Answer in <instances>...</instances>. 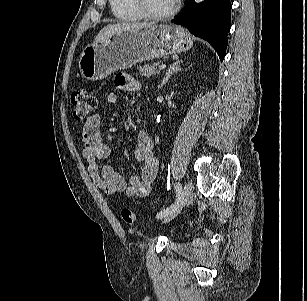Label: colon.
Listing matches in <instances>:
<instances>
[{"mask_svg": "<svg viewBox=\"0 0 307 301\" xmlns=\"http://www.w3.org/2000/svg\"><path fill=\"white\" fill-rule=\"evenodd\" d=\"M70 104L74 117L77 120H86L96 109V95L93 91L85 88L77 89L71 95ZM121 216L123 221L128 225H135L137 223L135 214L129 209H123Z\"/></svg>", "mask_w": 307, "mask_h": 301, "instance_id": "5ec220e1", "label": "colon"}]
</instances>
